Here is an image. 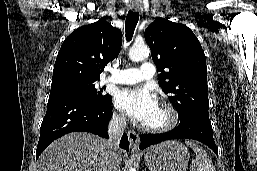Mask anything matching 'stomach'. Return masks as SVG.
Instances as JSON below:
<instances>
[{"label":"stomach","instance_id":"1","mask_svg":"<svg viewBox=\"0 0 257 171\" xmlns=\"http://www.w3.org/2000/svg\"><path fill=\"white\" fill-rule=\"evenodd\" d=\"M144 161L149 171H186L189 153L183 144L168 141L151 147Z\"/></svg>","mask_w":257,"mask_h":171}]
</instances>
